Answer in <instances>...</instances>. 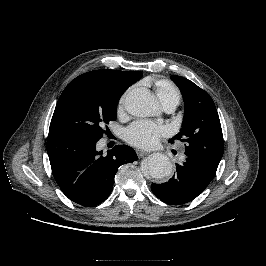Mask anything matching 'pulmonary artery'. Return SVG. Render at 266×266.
I'll return each mask as SVG.
<instances>
[{
  "label": "pulmonary artery",
  "instance_id": "1",
  "mask_svg": "<svg viewBox=\"0 0 266 266\" xmlns=\"http://www.w3.org/2000/svg\"><path fill=\"white\" fill-rule=\"evenodd\" d=\"M176 105L175 103H166L163 104V108L166 112H172L176 108Z\"/></svg>",
  "mask_w": 266,
  "mask_h": 266
}]
</instances>
